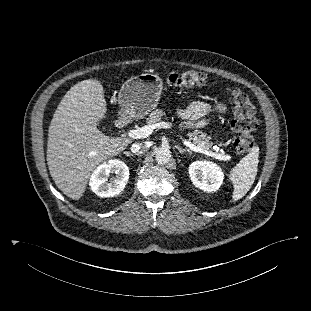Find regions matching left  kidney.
<instances>
[{
    "mask_svg": "<svg viewBox=\"0 0 311 311\" xmlns=\"http://www.w3.org/2000/svg\"><path fill=\"white\" fill-rule=\"evenodd\" d=\"M189 175L193 184L205 192L218 190L224 179L221 168L209 161H195L191 163Z\"/></svg>",
    "mask_w": 311,
    "mask_h": 311,
    "instance_id": "obj_1",
    "label": "left kidney"
}]
</instances>
